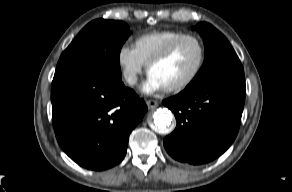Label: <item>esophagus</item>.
Masks as SVG:
<instances>
[{"label":"esophagus","mask_w":292,"mask_h":192,"mask_svg":"<svg viewBox=\"0 0 292 192\" xmlns=\"http://www.w3.org/2000/svg\"><path fill=\"white\" fill-rule=\"evenodd\" d=\"M146 105L149 109H156L158 107V102L156 100H147Z\"/></svg>","instance_id":"esophagus-1"}]
</instances>
